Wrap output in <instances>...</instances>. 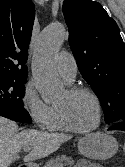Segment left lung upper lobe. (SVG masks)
<instances>
[{
  "label": "left lung upper lobe",
  "instance_id": "1",
  "mask_svg": "<svg viewBox=\"0 0 125 167\" xmlns=\"http://www.w3.org/2000/svg\"><path fill=\"white\" fill-rule=\"evenodd\" d=\"M78 69L103 105L108 125L125 121V43L114 19L92 0H64Z\"/></svg>",
  "mask_w": 125,
  "mask_h": 167
}]
</instances>
